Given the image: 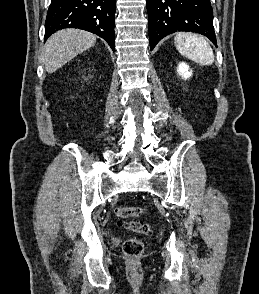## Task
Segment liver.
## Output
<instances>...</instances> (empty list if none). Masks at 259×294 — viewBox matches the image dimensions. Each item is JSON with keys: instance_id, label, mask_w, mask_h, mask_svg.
I'll list each match as a JSON object with an SVG mask.
<instances>
[{"instance_id": "6515ba94", "label": "liver", "mask_w": 259, "mask_h": 294, "mask_svg": "<svg viewBox=\"0 0 259 294\" xmlns=\"http://www.w3.org/2000/svg\"><path fill=\"white\" fill-rule=\"evenodd\" d=\"M96 35L80 29H63L46 42L43 63L53 73L77 55L94 46Z\"/></svg>"}]
</instances>
